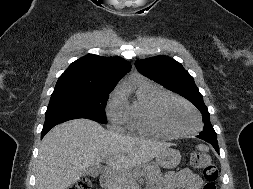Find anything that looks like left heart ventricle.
<instances>
[{"mask_svg": "<svg viewBox=\"0 0 253 189\" xmlns=\"http://www.w3.org/2000/svg\"><path fill=\"white\" fill-rule=\"evenodd\" d=\"M161 116L172 129L184 132L197 126V119L193 111L182 103L167 100L161 107Z\"/></svg>", "mask_w": 253, "mask_h": 189, "instance_id": "left-heart-ventricle-1", "label": "left heart ventricle"}]
</instances>
